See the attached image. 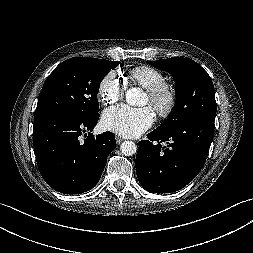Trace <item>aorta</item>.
<instances>
[{
	"label": "aorta",
	"mask_w": 253,
	"mask_h": 253,
	"mask_svg": "<svg viewBox=\"0 0 253 253\" xmlns=\"http://www.w3.org/2000/svg\"><path fill=\"white\" fill-rule=\"evenodd\" d=\"M126 102L131 106H141L144 104L145 94L141 88L132 87L126 91ZM121 152L125 156H131L136 153L137 147L132 141H124L121 146Z\"/></svg>",
	"instance_id": "aorta-1"
}]
</instances>
